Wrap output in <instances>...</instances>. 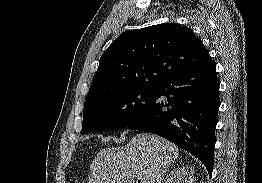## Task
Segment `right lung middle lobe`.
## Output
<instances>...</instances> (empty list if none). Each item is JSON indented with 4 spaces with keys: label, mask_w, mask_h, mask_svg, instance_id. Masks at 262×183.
Instances as JSON below:
<instances>
[{
    "label": "right lung middle lobe",
    "mask_w": 262,
    "mask_h": 183,
    "mask_svg": "<svg viewBox=\"0 0 262 183\" xmlns=\"http://www.w3.org/2000/svg\"><path fill=\"white\" fill-rule=\"evenodd\" d=\"M155 95L156 88H131L85 101L81 134L126 128Z\"/></svg>",
    "instance_id": "right-lung-middle-lobe-1"
}]
</instances>
